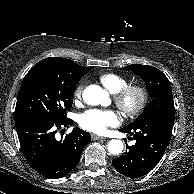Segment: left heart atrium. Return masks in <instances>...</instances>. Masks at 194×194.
I'll return each instance as SVG.
<instances>
[{"mask_svg":"<svg viewBox=\"0 0 194 194\" xmlns=\"http://www.w3.org/2000/svg\"><path fill=\"white\" fill-rule=\"evenodd\" d=\"M120 123L118 114L113 110L90 109L80 115V126L94 133H104L108 127Z\"/></svg>","mask_w":194,"mask_h":194,"instance_id":"39dd6f15","label":"left heart atrium"}]
</instances>
